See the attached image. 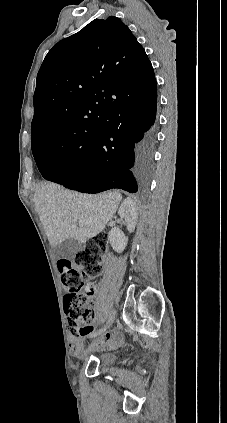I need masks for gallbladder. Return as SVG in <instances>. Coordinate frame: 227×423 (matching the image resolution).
I'll return each mask as SVG.
<instances>
[{"label": "gallbladder", "mask_w": 227, "mask_h": 423, "mask_svg": "<svg viewBox=\"0 0 227 423\" xmlns=\"http://www.w3.org/2000/svg\"><path fill=\"white\" fill-rule=\"evenodd\" d=\"M81 247V243H78L74 237L65 239V241L53 247L55 259H73Z\"/></svg>", "instance_id": "gallbladder-1"}]
</instances>
